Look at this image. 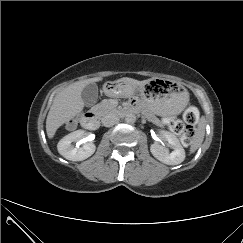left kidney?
Here are the masks:
<instances>
[{
  "label": "left kidney",
  "instance_id": "1",
  "mask_svg": "<svg viewBox=\"0 0 243 243\" xmlns=\"http://www.w3.org/2000/svg\"><path fill=\"white\" fill-rule=\"evenodd\" d=\"M160 134L163 140L168 142L169 147L172 148L173 151L169 152L168 148L154 143L150 146L152 155L167 165H177L182 163L185 159V150L180 144L178 138L171 132L165 130H161Z\"/></svg>",
  "mask_w": 243,
  "mask_h": 243
}]
</instances>
